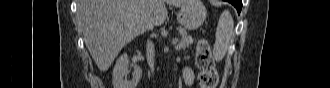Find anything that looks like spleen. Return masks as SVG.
<instances>
[{
	"label": "spleen",
	"mask_w": 330,
	"mask_h": 88,
	"mask_svg": "<svg viewBox=\"0 0 330 88\" xmlns=\"http://www.w3.org/2000/svg\"><path fill=\"white\" fill-rule=\"evenodd\" d=\"M234 39V21L229 11L222 12L217 29L213 48V56L216 61H221Z\"/></svg>",
	"instance_id": "3e777b00"
}]
</instances>
